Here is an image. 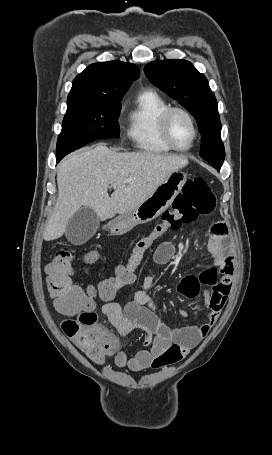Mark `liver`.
<instances>
[{"mask_svg":"<svg viewBox=\"0 0 272 455\" xmlns=\"http://www.w3.org/2000/svg\"><path fill=\"white\" fill-rule=\"evenodd\" d=\"M187 164L184 156L117 152L104 144L70 154L57 169L58 199L44 240L60 238L82 207L94 210L101 221L135 209L171 173ZM127 179L132 181L123 183ZM109 186L114 189L111 197Z\"/></svg>","mask_w":272,"mask_h":455,"instance_id":"6515ba94","label":"liver"}]
</instances>
